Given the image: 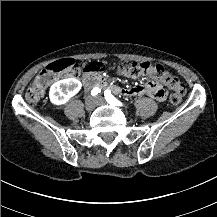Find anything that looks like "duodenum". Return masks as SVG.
Instances as JSON below:
<instances>
[{
    "mask_svg": "<svg viewBox=\"0 0 217 217\" xmlns=\"http://www.w3.org/2000/svg\"><path fill=\"white\" fill-rule=\"evenodd\" d=\"M83 84L86 89L100 87V88H104L105 91L113 93V94H123L126 92V90L123 89L122 87L112 85L101 75H98L93 72H90L84 76Z\"/></svg>",
    "mask_w": 217,
    "mask_h": 217,
    "instance_id": "1",
    "label": "duodenum"
}]
</instances>
